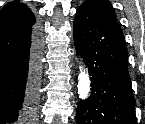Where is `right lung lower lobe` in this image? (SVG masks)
<instances>
[{"label": "right lung lower lobe", "mask_w": 145, "mask_h": 124, "mask_svg": "<svg viewBox=\"0 0 145 124\" xmlns=\"http://www.w3.org/2000/svg\"><path fill=\"white\" fill-rule=\"evenodd\" d=\"M40 56L36 26L0 32V124H22L35 115Z\"/></svg>", "instance_id": "1"}]
</instances>
